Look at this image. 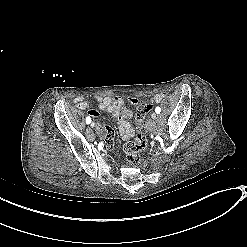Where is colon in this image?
<instances>
[{"label":"colon","instance_id":"colon-1","mask_svg":"<svg viewBox=\"0 0 247 247\" xmlns=\"http://www.w3.org/2000/svg\"><path fill=\"white\" fill-rule=\"evenodd\" d=\"M152 105L149 102H140L137 107L136 116L138 120L142 121ZM147 138L141 126L136 128L135 139L127 141L124 146L125 154L129 165L137 166L140 163V151L147 147Z\"/></svg>","mask_w":247,"mask_h":247}]
</instances>
